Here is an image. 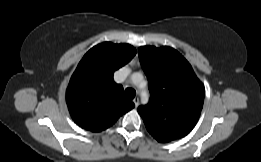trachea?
I'll use <instances>...</instances> for the list:
<instances>
[{"label":"trachea","mask_w":261,"mask_h":162,"mask_svg":"<svg viewBox=\"0 0 261 162\" xmlns=\"http://www.w3.org/2000/svg\"><path fill=\"white\" fill-rule=\"evenodd\" d=\"M136 95V92L135 90L131 89V88H127L125 90V97L128 99V100H132Z\"/></svg>","instance_id":"3493384b"}]
</instances>
